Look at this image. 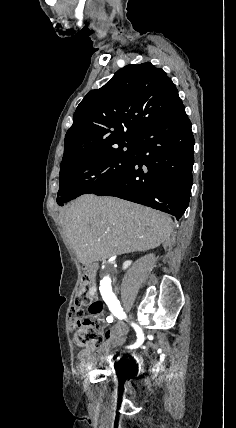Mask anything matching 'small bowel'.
I'll return each mask as SVG.
<instances>
[{"mask_svg":"<svg viewBox=\"0 0 236 428\" xmlns=\"http://www.w3.org/2000/svg\"><path fill=\"white\" fill-rule=\"evenodd\" d=\"M128 334V327L124 323H118L104 333L105 341L101 347L91 352L89 350H82L79 352L78 357L80 360V368L86 369L91 367L94 363L102 360L113 361L116 356L110 354L107 350L108 345L123 341Z\"/></svg>","mask_w":236,"mask_h":428,"instance_id":"c3829d8e","label":"small bowel"}]
</instances>
